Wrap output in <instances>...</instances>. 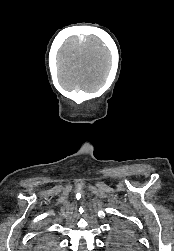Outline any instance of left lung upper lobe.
<instances>
[{
    "instance_id": "left-lung-upper-lobe-1",
    "label": "left lung upper lobe",
    "mask_w": 174,
    "mask_h": 251,
    "mask_svg": "<svg viewBox=\"0 0 174 251\" xmlns=\"http://www.w3.org/2000/svg\"><path fill=\"white\" fill-rule=\"evenodd\" d=\"M116 238L113 243L118 248L126 249L127 245L133 240L132 230L125 224H119L115 230Z\"/></svg>"
}]
</instances>
